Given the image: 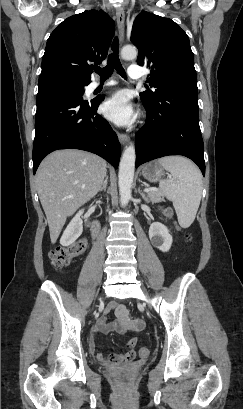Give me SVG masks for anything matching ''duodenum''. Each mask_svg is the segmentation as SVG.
Returning <instances> with one entry per match:
<instances>
[{"instance_id": "1", "label": "duodenum", "mask_w": 243, "mask_h": 409, "mask_svg": "<svg viewBox=\"0 0 243 409\" xmlns=\"http://www.w3.org/2000/svg\"><path fill=\"white\" fill-rule=\"evenodd\" d=\"M91 232H92V236H93V237H96V236L98 235V233H99V223H98L97 220H94V221L92 222Z\"/></svg>"}]
</instances>
